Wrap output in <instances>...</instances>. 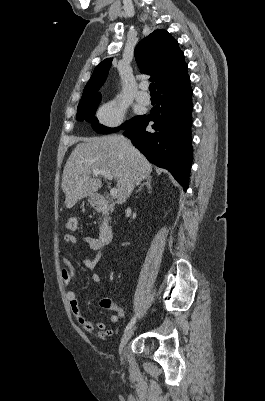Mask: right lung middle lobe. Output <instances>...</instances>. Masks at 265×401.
<instances>
[{"label":"right lung middle lobe","instance_id":"dd1d6c3e","mask_svg":"<svg viewBox=\"0 0 265 401\" xmlns=\"http://www.w3.org/2000/svg\"><path fill=\"white\" fill-rule=\"evenodd\" d=\"M101 95H98L90 100H87L85 102L79 103L78 108H77V117L76 119L79 121L86 120L88 122H91L92 128L99 134H110L117 132L121 129L125 130L129 128L130 126L134 125L138 121L141 120V116H136L132 118L129 121H126L123 123L120 127L116 128H109L105 127L103 125H99L97 122V119L94 118V114L96 111V108L98 107V104L100 102Z\"/></svg>","mask_w":265,"mask_h":401}]
</instances>
